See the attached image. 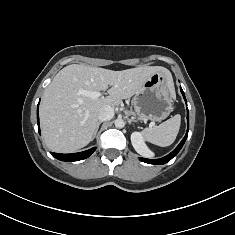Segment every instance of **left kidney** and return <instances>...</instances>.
I'll list each match as a JSON object with an SVG mask.
<instances>
[{
  "instance_id": "obj_1",
  "label": "left kidney",
  "mask_w": 235,
  "mask_h": 235,
  "mask_svg": "<svg viewBox=\"0 0 235 235\" xmlns=\"http://www.w3.org/2000/svg\"><path fill=\"white\" fill-rule=\"evenodd\" d=\"M131 143L136 150L142 156L151 157L153 152L146 146L144 137L140 132H133L131 134Z\"/></svg>"
}]
</instances>
